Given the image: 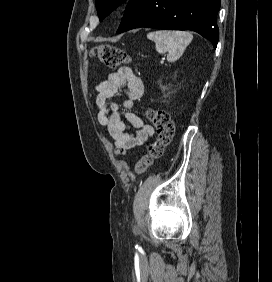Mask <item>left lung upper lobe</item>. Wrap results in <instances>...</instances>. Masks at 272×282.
I'll return each instance as SVG.
<instances>
[{
	"mask_svg": "<svg viewBox=\"0 0 272 282\" xmlns=\"http://www.w3.org/2000/svg\"><path fill=\"white\" fill-rule=\"evenodd\" d=\"M126 1L128 0H96V8L100 21Z\"/></svg>",
	"mask_w": 272,
	"mask_h": 282,
	"instance_id": "5c2ea615",
	"label": "left lung upper lobe"
}]
</instances>
